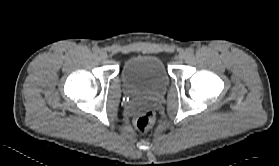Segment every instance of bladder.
Masks as SVG:
<instances>
[{"instance_id": "obj_1", "label": "bladder", "mask_w": 279, "mask_h": 166, "mask_svg": "<svg viewBox=\"0 0 279 166\" xmlns=\"http://www.w3.org/2000/svg\"><path fill=\"white\" fill-rule=\"evenodd\" d=\"M124 87L133 95H155L168 84V75L162 61L142 55L128 59L120 72Z\"/></svg>"}]
</instances>
